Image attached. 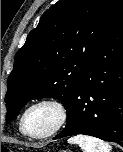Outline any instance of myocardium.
<instances>
[{
  "instance_id": "1",
  "label": "myocardium",
  "mask_w": 123,
  "mask_h": 152,
  "mask_svg": "<svg viewBox=\"0 0 123 152\" xmlns=\"http://www.w3.org/2000/svg\"><path fill=\"white\" fill-rule=\"evenodd\" d=\"M40 105L53 106L58 112V121H57L56 125L46 133L32 134L26 128L25 120H26V117H27V114L29 113V111ZM67 119H68V109L63 101H61L60 99L55 98V97H44V98H41V99L36 100L35 102L31 103L25 109V111L23 112L21 119H20V127H21L22 132L28 137H31L34 139H45V138L51 137V136L55 135L56 133H58L66 124Z\"/></svg>"
}]
</instances>
